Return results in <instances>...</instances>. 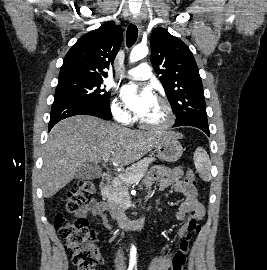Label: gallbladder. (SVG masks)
I'll use <instances>...</instances> for the list:
<instances>
[{
    "instance_id": "obj_1",
    "label": "gallbladder",
    "mask_w": 267,
    "mask_h": 270,
    "mask_svg": "<svg viewBox=\"0 0 267 270\" xmlns=\"http://www.w3.org/2000/svg\"><path fill=\"white\" fill-rule=\"evenodd\" d=\"M102 171L98 166L82 165L77 169L75 178L78 180H92L101 177Z\"/></svg>"
}]
</instances>
